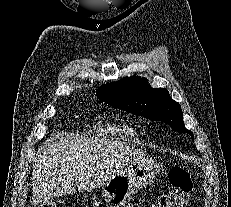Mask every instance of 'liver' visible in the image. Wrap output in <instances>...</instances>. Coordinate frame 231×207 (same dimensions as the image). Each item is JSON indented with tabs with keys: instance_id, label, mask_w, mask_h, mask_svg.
I'll return each mask as SVG.
<instances>
[{
	"instance_id": "1",
	"label": "liver",
	"mask_w": 231,
	"mask_h": 207,
	"mask_svg": "<svg viewBox=\"0 0 231 207\" xmlns=\"http://www.w3.org/2000/svg\"><path fill=\"white\" fill-rule=\"evenodd\" d=\"M42 153L32 171V205L53 197L97 188L143 153L105 139L79 134H58L40 147ZM75 183V185H74Z\"/></svg>"
}]
</instances>
